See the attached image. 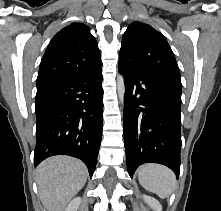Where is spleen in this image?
Returning a JSON list of instances; mask_svg holds the SVG:
<instances>
[{
	"instance_id": "obj_1",
	"label": "spleen",
	"mask_w": 221,
	"mask_h": 211,
	"mask_svg": "<svg viewBox=\"0 0 221 211\" xmlns=\"http://www.w3.org/2000/svg\"><path fill=\"white\" fill-rule=\"evenodd\" d=\"M140 184L160 198H168L175 187V175L167 167L159 164H145L138 169Z\"/></svg>"
}]
</instances>
